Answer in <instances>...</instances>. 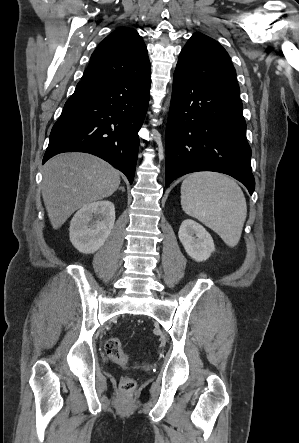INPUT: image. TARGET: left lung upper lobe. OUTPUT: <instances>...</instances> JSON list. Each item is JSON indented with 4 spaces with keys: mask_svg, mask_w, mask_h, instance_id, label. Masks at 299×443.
I'll return each mask as SVG.
<instances>
[{
    "mask_svg": "<svg viewBox=\"0 0 299 443\" xmlns=\"http://www.w3.org/2000/svg\"><path fill=\"white\" fill-rule=\"evenodd\" d=\"M176 70L239 96L236 71L226 50L214 39L195 33L182 49Z\"/></svg>",
    "mask_w": 299,
    "mask_h": 443,
    "instance_id": "obj_1",
    "label": "left lung upper lobe"
}]
</instances>
